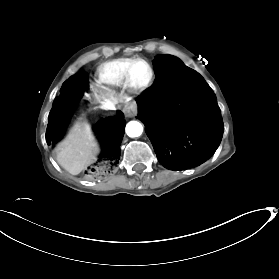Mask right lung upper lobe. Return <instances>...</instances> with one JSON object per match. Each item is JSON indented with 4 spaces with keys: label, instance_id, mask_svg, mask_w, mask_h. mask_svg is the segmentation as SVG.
I'll use <instances>...</instances> for the list:
<instances>
[{
    "label": "right lung upper lobe",
    "instance_id": "obj_1",
    "mask_svg": "<svg viewBox=\"0 0 279 279\" xmlns=\"http://www.w3.org/2000/svg\"><path fill=\"white\" fill-rule=\"evenodd\" d=\"M100 130H101V133L102 134H104V131H105V127H104V125H103V122L102 123H100Z\"/></svg>",
    "mask_w": 279,
    "mask_h": 279
}]
</instances>
